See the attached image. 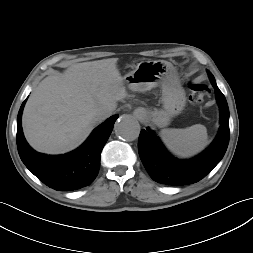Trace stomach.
I'll list each match as a JSON object with an SVG mask.
<instances>
[{"mask_svg":"<svg viewBox=\"0 0 253 253\" xmlns=\"http://www.w3.org/2000/svg\"><path fill=\"white\" fill-rule=\"evenodd\" d=\"M133 91L145 92L159 83L162 85L163 109L146 112L145 121L157 127L169 125L186 104L185 91L173 66L164 60L141 61L133 71L124 77Z\"/></svg>","mask_w":253,"mask_h":253,"instance_id":"0dacf381","label":"stomach"}]
</instances>
